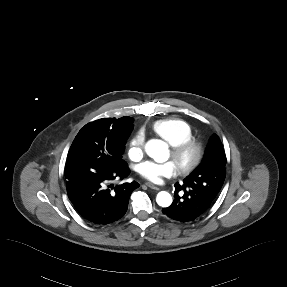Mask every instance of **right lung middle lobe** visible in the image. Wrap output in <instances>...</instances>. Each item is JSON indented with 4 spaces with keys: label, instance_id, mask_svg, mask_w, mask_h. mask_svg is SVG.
<instances>
[{
    "label": "right lung middle lobe",
    "instance_id": "1",
    "mask_svg": "<svg viewBox=\"0 0 287 287\" xmlns=\"http://www.w3.org/2000/svg\"><path fill=\"white\" fill-rule=\"evenodd\" d=\"M128 136L107 142L97 135L92 126L87 124L75 137L67 159L78 156H91L113 166L125 165L126 162L122 160V154Z\"/></svg>",
    "mask_w": 287,
    "mask_h": 287
}]
</instances>
